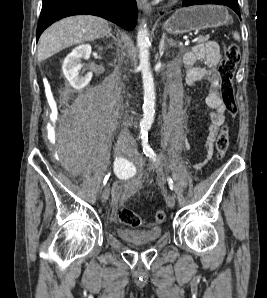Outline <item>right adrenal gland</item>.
Here are the masks:
<instances>
[{
	"mask_svg": "<svg viewBox=\"0 0 267 298\" xmlns=\"http://www.w3.org/2000/svg\"><path fill=\"white\" fill-rule=\"evenodd\" d=\"M105 37H112L114 40H116V38L111 33L106 34Z\"/></svg>",
	"mask_w": 267,
	"mask_h": 298,
	"instance_id": "1",
	"label": "right adrenal gland"
}]
</instances>
